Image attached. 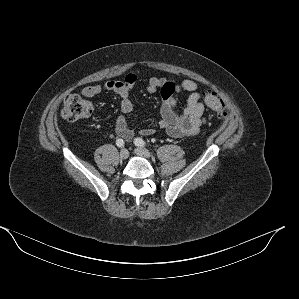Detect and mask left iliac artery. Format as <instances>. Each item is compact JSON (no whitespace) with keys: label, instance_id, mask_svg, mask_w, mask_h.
I'll list each match as a JSON object with an SVG mask.
<instances>
[{"label":"left iliac artery","instance_id":"1","mask_svg":"<svg viewBox=\"0 0 299 299\" xmlns=\"http://www.w3.org/2000/svg\"><path fill=\"white\" fill-rule=\"evenodd\" d=\"M135 145L144 147L146 145L145 141L142 138H136L134 140Z\"/></svg>","mask_w":299,"mask_h":299}]
</instances>
